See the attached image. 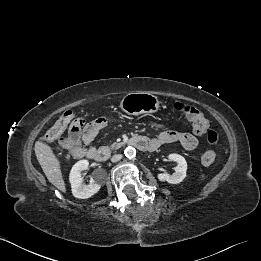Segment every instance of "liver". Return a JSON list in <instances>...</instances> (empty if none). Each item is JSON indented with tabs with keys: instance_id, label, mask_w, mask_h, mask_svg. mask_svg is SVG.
<instances>
[{
	"instance_id": "6515ba94",
	"label": "liver",
	"mask_w": 261,
	"mask_h": 261,
	"mask_svg": "<svg viewBox=\"0 0 261 261\" xmlns=\"http://www.w3.org/2000/svg\"><path fill=\"white\" fill-rule=\"evenodd\" d=\"M35 154L48 181L58 190L66 192L60 162L54 155L52 148L42 141H37L35 144Z\"/></svg>"
}]
</instances>
